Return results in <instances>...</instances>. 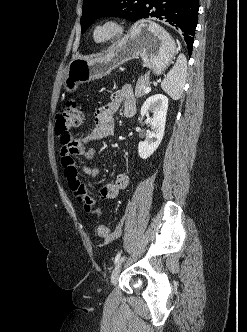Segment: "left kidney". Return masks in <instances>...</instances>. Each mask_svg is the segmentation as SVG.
I'll list each match as a JSON object with an SVG mask.
<instances>
[{
	"label": "left kidney",
	"instance_id": "left-kidney-1",
	"mask_svg": "<svg viewBox=\"0 0 247 332\" xmlns=\"http://www.w3.org/2000/svg\"><path fill=\"white\" fill-rule=\"evenodd\" d=\"M168 110V98L162 94L150 96L141 107V119L147 117L146 121L151 125V132H147L146 139L138 144L140 158L147 159L159 147L165 131L166 115ZM149 112L153 113L149 117Z\"/></svg>",
	"mask_w": 247,
	"mask_h": 332
}]
</instances>
